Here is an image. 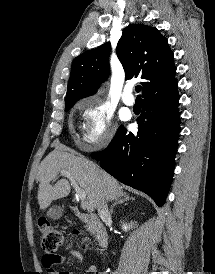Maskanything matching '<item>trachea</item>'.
I'll return each mask as SVG.
<instances>
[{"label": "trachea", "instance_id": "obj_1", "mask_svg": "<svg viewBox=\"0 0 215 274\" xmlns=\"http://www.w3.org/2000/svg\"><path fill=\"white\" fill-rule=\"evenodd\" d=\"M135 90H136L137 93H139V92L141 91V86H140V85H137V86L135 87ZM138 97H140V95H139Z\"/></svg>", "mask_w": 215, "mask_h": 274}]
</instances>
